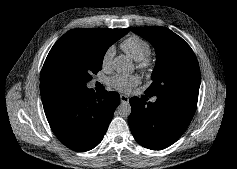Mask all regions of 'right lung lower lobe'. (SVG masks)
<instances>
[{"label":"right lung lower lobe","mask_w":237,"mask_h":169,"mask_svg":"<svg viewBox=\"0 0 237 169\" xmlns=\"http://www.w3.org/2000/svg\"><path fill=\"white\" fill-rule=\"evenodd\" d=\"M49 125L68 148L84 152L103 139L113 113L120 103L116 92L94 94L85 87H62L42 96Z\"/></svg>","instance_id":"right-lung-lower-lobe-1"}]
</instances>
